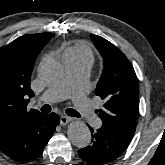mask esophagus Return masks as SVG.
<instances>
[{"label":"esophagus","instance_id":"esophagus-1","mask_svg":"<svg viewBox=\"0 0 165 165\" xmlns=\"http://www.w3.org/2000/svg\"><path fill=\"white\" fill-rule=\"evenodd\" d=\"M72 119L66 115H61L60 117V122H61V125H67Z\"/></svg>","mask_w":165,"mask_h":165}]
</instances>
